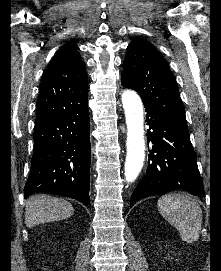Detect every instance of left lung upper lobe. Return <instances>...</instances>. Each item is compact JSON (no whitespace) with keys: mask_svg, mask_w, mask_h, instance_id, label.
<instances>
[{"mask_svg":"<svg viewBox=\"0 0 221 271\" xmlns=\"http://www.w3.org/2000/svg\"><path fill=\"white\" fill-rule=\"evenodd\" d=\"M123 68L122 85L136 90L145 107L187 128L176 80L152 43L134 38L127 47Z\"/></svg>","mask_w":221,"mask_h":271,"instance_id":"5c2ea615","label":"left lung upper lobe"}]
</instances>
